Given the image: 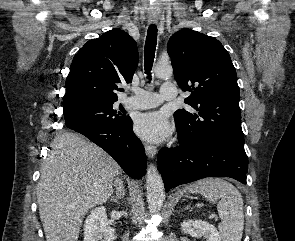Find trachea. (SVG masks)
I'll use <instances>...</instances> for the list:
<instances>
[{"mask_svg":"<svg viewBox=\"0 0 295 241\" xmlns=\"http://www.w3.org/2000/svg\"><path fill=\"white\" fill-rule=\"evenodd\" d=\"M156 45H157V27L156 25H150L147 31V37L145 42V56H144L145 73L148 75L149 79L151 77L150 72L153 66Z\"/></svg>","mask_w":295,"mask_h":241,"instance_id":"trachea-1","label":"trachea"}]
</instances>
